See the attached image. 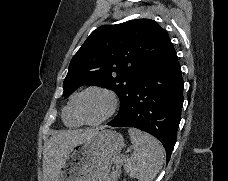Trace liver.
I'll return each mask as SVG.
<instances>
[{"instance_id": "6515ba94", "label": "liver", "mask_w": 228, "mask_h": 181, "mask_svg": "<svg viewBox=\"0 0 228 181\" xmlns=\"http://www.w3.org/2000/svg\"><path fill=\"white\" fill-rule=\"evenodd\" d=\"M100 129L92 131H53L49 141L45 143L43 149V175L46 181H57L61 175L62 167L66 161L68 153L75 145L83 143L87 137H92Z\"/></svg>"}]
</instances>
